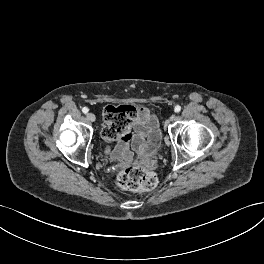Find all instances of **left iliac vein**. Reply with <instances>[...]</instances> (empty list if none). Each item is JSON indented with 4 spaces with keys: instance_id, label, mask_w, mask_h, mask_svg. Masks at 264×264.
I'll use <instances>...</instances> for the list:
<instances>
[{
    "instance_id": "4c4485c4",
    "label": "left iliac vein",
    "mask_w": 264,
    "mask_h": 264,
    "mask_svg": "<svg viewBox=\"0 0 264 264\" xmlns=\"http://www.w3.org/2000/svg\"><path fill=\"white\" fill-rule=\"evenodd\" d=\"M175 120H176V115H175V114L171 115V116H170V121L173 122V121H175Z\"/></svg>"
}]
</instances>
